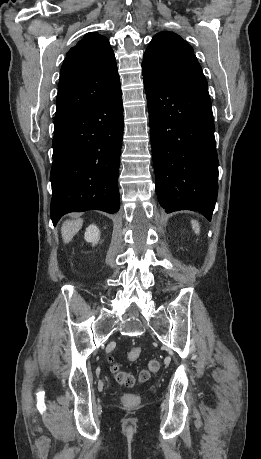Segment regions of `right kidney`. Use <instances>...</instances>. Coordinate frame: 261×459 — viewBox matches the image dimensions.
I'll return each instance as SVG.
<instances>
[{
    "instance_id": "obj_1",
    "label": "right kidney",
    "mask_w": 261,
    "mask_h": 459,
    "mask_svg": "<svg viewBox=\"0 0 261 459\" xmlns=\"http://www.w3.org/2000/svg\"><path fill=\"white\" fill-rule=\"evenodd\" d=\"M85 240L92 243L93 245L99 241L100 232L96 225L91 224L86 228L84 234Z\"/></svg>"
}]
</instances>
